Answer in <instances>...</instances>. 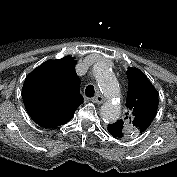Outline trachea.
Here are the masks:
<instances>
[{
  "instance_id": "trachea-1",
  "label": "trachea",
  "mask_w": 177,
  "mask_h": 177,
  "mask_svg": "<svg viewBox=\"0 0 177 177\" xmlns=\"http://www.w3.org/2000/svg\"><path fill=\"white\" fill-rule=\"evenodd\" d=\"M85 94L88 97H93L95 94L94 86L93 85H88L85 89Z\"/></svg>"
}]
</instances>
